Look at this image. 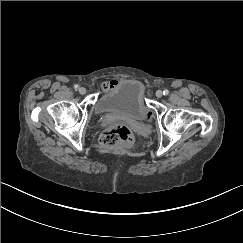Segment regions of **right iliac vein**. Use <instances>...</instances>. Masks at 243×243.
Wrapping results in <instances>:
<instances>
[{
    "mask_svg": "<svg viewBox=\"0 0 243 243\" xmlns=\"http://www.w3.org/2000/svg\"><path fill=\"white\" fill-rule=\"evenodd\" d=\"M79 93L82 94V95L86 94V89L84 87H80Z\"/></svg>",
    "mask_w": 243,
    "mask_h": 243,
    "instance_id": "63e3f726",
    "label": "right iliac vein"
}]
</instances>
